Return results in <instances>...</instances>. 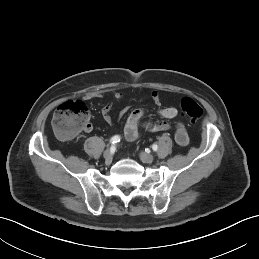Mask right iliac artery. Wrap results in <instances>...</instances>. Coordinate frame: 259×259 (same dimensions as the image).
Instances as JSON below:
<instances>
[{
  "instance_id": "obj_1",
  "label": "right iliac artery",
  "mask_w": 259,
  "mask_h": 259,
  "mask_svg": "<svg viewBox=\"0 0 259 259\" xmlns=\"http://www.w3.org/2000/svg\"><path fill=\"white\" fill-rule=\"evenodd\" d=\"M120 142V137L118 135L116 136H113L111 139H110V143L111 144H115V143H118Z\"/></svg>"
}]
</instances>
